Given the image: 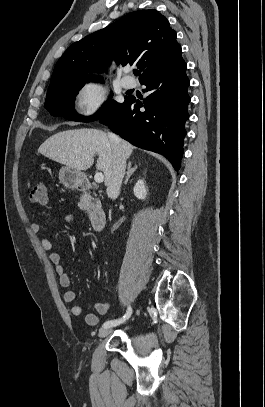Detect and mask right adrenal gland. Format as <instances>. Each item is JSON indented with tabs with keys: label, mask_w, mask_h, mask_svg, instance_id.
Returning <instances> with one entry per match:
<instances>
[{
	"label": "right adrenal gland",
	"mask_w": 265,
	"mask_h": 407,
	"mask_svg": "<svg viewBox=\"0 0 265 407\" xmlns=\"http://www.w3.org/2000/svg\"><path fill=\"white\" fill-rule=\"evenodd\" d=\"M137 166L132 168V162L129 161L128 162V167H127V174H126V178L124 180V184L126 185L128 183V180L130 179L131 175L136 171Z\"/></svg>",
	"instance_id": "1"
}]
</instances>
